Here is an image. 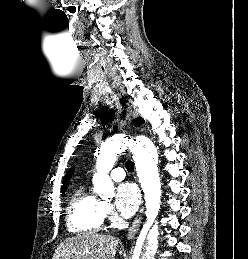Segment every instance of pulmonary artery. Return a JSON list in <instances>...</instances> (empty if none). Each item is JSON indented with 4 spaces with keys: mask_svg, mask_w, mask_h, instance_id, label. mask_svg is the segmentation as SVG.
Listing matches in <instances>:
<instances>
[{
    "mask_svg": "<svg viewBox=\"0 0 248 259\" xmlns=\"http://www.w3.org/2000/svg\"><path fill=\"white\" fill-rule=\"evenodd\" d=\"M110 176L115 181H121L124 179L125 173L121 167H117L110 172Z\"/></svg>",
    "mask_w": 248,
    "mask_h": 259,
    "instance_id": "pulmonary-artery-1",
    "label": "pulmonary artery"
}]
</instances>
